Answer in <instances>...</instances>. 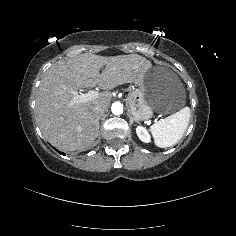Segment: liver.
<instances>
[{"mask_svg": "<svg viewBox=\"0 0 236 236\" xmlns=\"http://www.w3.org/2000/svg\"><path fill=\"white\" fill-rule=\"evenodd\" d=\"M151 67L138 54L104 57L84 53L58 61L44 73L38 88L36 122L44 138L64 152L87 149L97 133L94 106L107 109L112 98L109 90L125 83L140 84ZM95 86L105 91L91 101L74 102L71 90Z\"/></svg>", "mask_w": 236, "mask_h": 236, "instance_id": "obj_1", "label": "liver"}]
</instances>
